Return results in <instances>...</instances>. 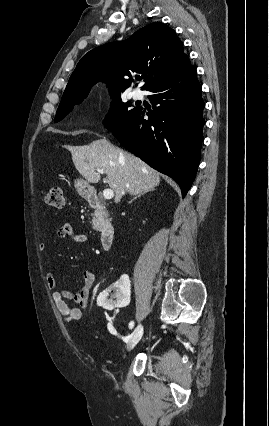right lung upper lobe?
<instances>
[{
	"mask_svg": "<svg viewBox=\"0 0 269 426\" xmlns=\"http://www.w3.org/2000/svg\"><path fill=\"white\" fill-rule=\"evenodd\" d=\"M191 66L175 31L151 23L123 42H110L85 54L70 76L63 98L87 96L98 81H105L111 94L124 92L132 73L146 77L142 90L172 78Z\"/></svg>",
	"mask_w": 269,
	"mask_h": 426,
	"instance_id": "1",
	"label": "right lung upper lobe"
}]
</instances>
